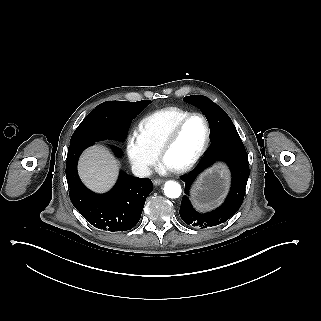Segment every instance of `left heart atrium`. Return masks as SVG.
<instances>
[{
    "label": "left heart atrium",
    "mask_w": 321,
    "mask_h": 321,
    "mask_svg": "<svg viewBox=\"0 0 321 321\" xmlns=\"http://www.w3.org/2000/svg\"><path fill=\"white\" fill-rule=\"evenodd\" d=\"M174 169L175 168L166 159H163L159 164V171L162 173H166V172L174 170Z\"/></svg>",
    "instance_id": "1"
}]
</instances>
